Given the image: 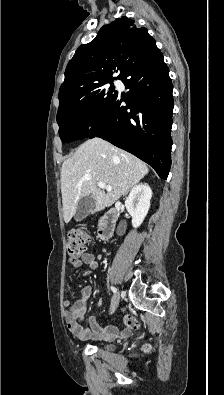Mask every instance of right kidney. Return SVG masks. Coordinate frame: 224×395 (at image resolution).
I'll list each match as a JSON object with an SVG mask.
<instances>
[{
	"mask_svg": "<svg viewBox=\"0 0 224 395\" xmlns=\"http://www.w3.org/2000/svg\"><path fill=\"white\" fill-rule=\"evenodd\" d=\"M152 191L147 184H139L131 190L125 200V207L132 217V226L138 228L145 219L149 208Z\"/></svg>",
	"mask_w": 224,
	"mask_h": 395,
	"instance_id": "obj_1",
	"label": "right kidney"
}]
</instances>
